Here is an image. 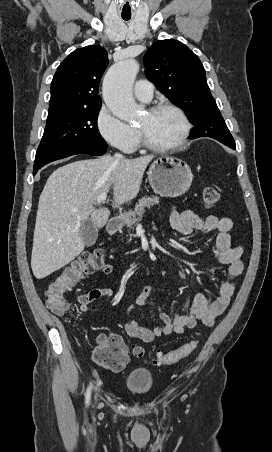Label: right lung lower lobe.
Listing matches in <instances>:
<instances>
[{"mask_svg":"<svg viewBox=\"0 0 272 452\" xmlns=\"http://www.w3.org/2000/svg\"><path fill=\"white\" fill-rule=\"evenodd\" d=\"M106 151V148L93 149L86 146H72L61 150L38 152L36 153L34 162L33 175H35L41 167L55 160L66 158L75 154L101 156L106 153Z\"/></svg>","mask_w":272,"mask_h":452,"instance_id":"obj_1","label":"right lung lower lobe"}]
</instances>
